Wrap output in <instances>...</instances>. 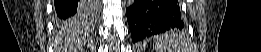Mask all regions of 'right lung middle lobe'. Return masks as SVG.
I'll list each match as a JSON object with an SVG mask.
<instances>
[{"mask_svg": "<svg viewBox=\"0 0 261 52\" xmlns=\"http://www.w3.org/2000/svg\"><path fill=\"white\" fill-rule=\"evenodd\" d=\"M97 2L96 1H89V2H84V7L85 9L80 12L76 17H73L71 19H60L58 20V24L60 26H68L69 24H71V22H80L83 20V16L85 14V10L92 9L94 11V9L97 7Z\"/></svg>", "mask_w": 261, "mask_h": 52, "instance_id": "1", "label": "right lung middle lobe"}]
</instances>
